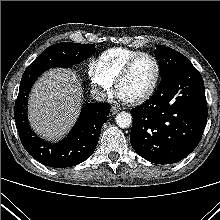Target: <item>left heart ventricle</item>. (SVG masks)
Listing matches in <instances>:
<instances>
[{
	"mask_svg": "<svg viewBox=\"0 0 220 220\" xmlns=\"http://www.w3.org/2000/svg\"><path fill=\"white\" fill-rule=\"evenodd\" d=\"M155 71V64L150 58H140L134 64L129 74L122 80L118 91L128 100L141 96L152 85Z\"/></svg>",
	"mask_w": 220,
	"mask_h": 220,
	"instance_id": "left-heart-ventricle-1",
	"label": "left heart ventricle"
}]
</instances>
